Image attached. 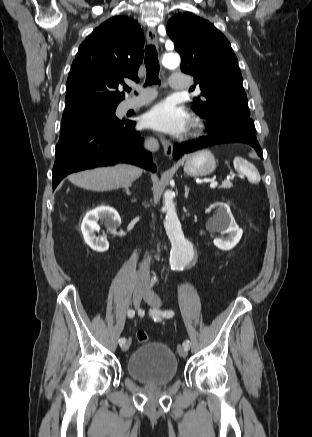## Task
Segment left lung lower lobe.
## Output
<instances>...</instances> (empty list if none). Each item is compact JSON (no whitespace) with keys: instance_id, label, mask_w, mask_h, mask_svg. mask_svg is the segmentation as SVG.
Here are the masks:
<instances>
[{"instance_id":"left-lung-lower-lobe-1","label":"left lung lower lobe","mask_w":312,"mask_h":437,"mask_svg":"<svg viewBox=\"0 0 312 437\" xmlns=\"http://www.w3.org/2000/svg\"><path fill=\"white\" fill-rule=\"evenodd\" d=\"M209 132L210 134L206 137H202L200 139L189 141V142H184L180 145H175L173 151L174 159L177 160L179 159V157H181L186 153L193 152L210 145L220 144V143H233V142L245 143L254 147L258 155L263 159V153L257 140L254 141L242 140L224 128L209 127Z\"/></svg>"}]
</instances>
